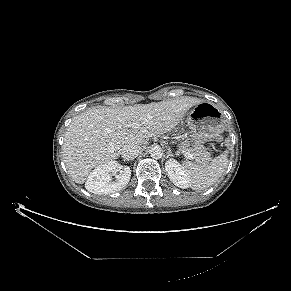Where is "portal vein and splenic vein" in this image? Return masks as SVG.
<instances>
[{
	"mask_svg": "<svg viewBox=\"0 0 291 291\" xmlns=\"http://www.w3.org/2000/svg\"><path fill=\"white\" fill-rule=\"evenodd\" d=\"M184 155L189 160H193L194 159V156L191 153H189V152H184Z\"/></svg>",
	"mask_w": 291,
	"mask_h": 291,
	"instance_id": "portal-vein-and-splenic-vein-1",
	"label": "portal vein and splenic vein"
}]
</instances>
